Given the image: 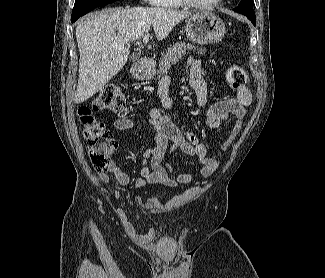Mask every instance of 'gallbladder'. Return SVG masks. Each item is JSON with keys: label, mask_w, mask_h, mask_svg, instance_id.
I'll return each mask as SVG.
<instances>
[{"label": "gallbladder", "mask_w": 325, "mask_h": 278, "mask_svg": "<svg viewBox=\"0 0 325 278\" xmlns=\"http://www.w3.org/2000/svg\"><path fill=\"white\" fill-rule=\"evenodd\" d=\"M139 57H140V55H139L138 53H133V54L130 56L131 60H133V61L138 60Z\"/></svg>", "instance_id": "gallbladder-1"}]
</instances>
